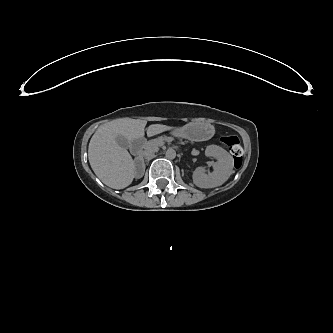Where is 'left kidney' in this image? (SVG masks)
Wrapping results in <instances>:
<instances>
[{
	"instance_id": "obj_1",
	"label": "left kidney",
	"mask_w": 333,
	"mask_h": 333,
	"mask_svg": "<svg viewBox=\"0 0 333 333\" xmlns=\"http://www.w3.org/2000/svg\"><path fill=\"white\" fill-rule=\"evenodd\" d=\"M213 157L216 162L213 164L214 171L204 173L196 170L193 175V182L199 188H214L221 186L231 176L230 162L226 157V152L221 148H214Z\"/></svg>"
}]
</instances>
